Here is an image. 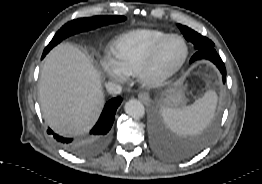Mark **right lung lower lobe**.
I'll return each mask as SVG.
<instances>
[{
    "mask_svg": "<svg viewBox=\"0 0 262 184\" xmlns=\"http://www.w3.org/2000/svg\"><path fill=\"white\" fill-rule=\"evenodd\" d=\"M43 57V56H42ZM122 102L121 97H116L109 100L102 114L90 131V137L84 142H73L72 139L63 138L55 134L50 128H48V133L52 134L53 137L65 148L72 152L79 153H96L102 150L109 142L110 139V129L113 125L115 113Z\"/></svg>",
    "mask_w": 262,
    "mask_h": 184,
    "instance_id": "obj_1",
    "label": "right lung lower lobe"
}]
</instances>
